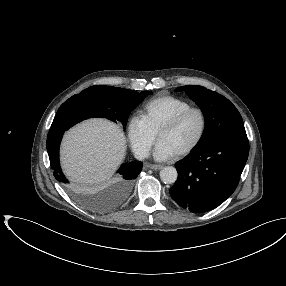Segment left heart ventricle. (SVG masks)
Masks as SVG:
<instances>
[{
    "label": "left heart ventricle",
    "instance_id": "b2bd125f",
    "mask_svg": "<svg viewBox=\"0 0 286 286\" xmlns=\"http://www.w3.org/2000/svg\"><path fill=\"white\" fill-rule=\"evenodd\" d=\"M201 128L198 113L193 112L184 118L176 127L165 131L160 136L176 153L189 146L197 137Z\"/></svg>",
    "mask_w": 286,
    "mask_h": 286
}]
</instances>
